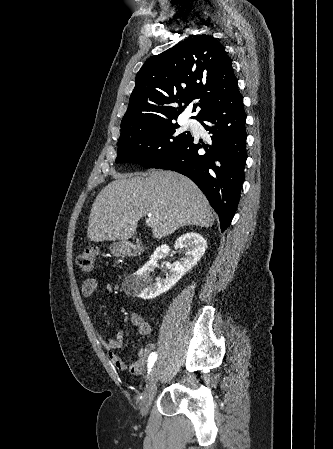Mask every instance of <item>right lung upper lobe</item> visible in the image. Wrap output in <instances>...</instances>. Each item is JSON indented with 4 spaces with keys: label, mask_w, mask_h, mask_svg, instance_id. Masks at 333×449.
Wrapping results in <instances>:
<instances>
[{
    "label": "right lung upper lobe",
    "mask_w": 333,
    "mask_h": 449,
    "mask_svg": "<svg viewBox=\"0 0 333 449\" xmlns=\"http://www.w3.org/2000/svg\"><path fill=\"white\" fill-rule=\"evenodd\" d=\"M135 81L119 141L176 120L186 108L182 103L198 99L201 110L192 117L198 120L221 100L240 94L230 58L210 35L194 36L149 58Z\"/></svg>",
    "instance_id": "cb5924a9"
}]
</instances>
